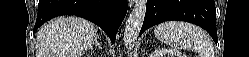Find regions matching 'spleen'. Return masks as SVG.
I'll return each mask as SVG.
<instances>
[{
	"label": "spleen",
	"instance_id": "spleen-1",
	"mask_svg": "<svg viewBox=\"0 0 249 57\" xmlns=\"http://www.w3.org/2000/svg\"><path fill=\"white\" fill-rule=\"evenodd\" d=\"M154 35L173 48L195 51L200 57H214L213 44L207 33L191 23L167 21L155 28Z\"/></svg>",
	"mask_w": 249,
	"mask_h": 57
}]
</instances>
